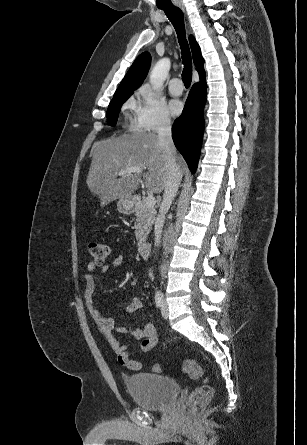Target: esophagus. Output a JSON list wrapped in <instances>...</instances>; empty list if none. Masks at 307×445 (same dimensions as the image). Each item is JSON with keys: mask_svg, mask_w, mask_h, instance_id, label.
I'll return each instance as SVG.
<instances>
[{"mask_svg": "<svg viewBox=\"0 0 307 445\" xmlns=\"http://www.w3.org/2000/svg\"><path fill=\"white\" fill-rule=\"evenodd\" d=\"M177 6H178L179 8H181V10H184V7H183L182 3L177 4Z\"/></svg>", "mask_w": 307, "mask_h": 445, "instance_id": "34e87169", "label": "esophagus"}]
</instances>
